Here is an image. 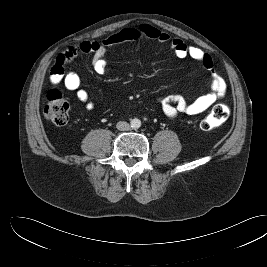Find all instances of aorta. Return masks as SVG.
<instances>
[{"mask_svg": "<svg viewBox=\"0 0 267 267\" xmlns=\"http://www.w3.org/2000/svg\"><path fill=\"white\" fill-rule=\"evenodd\" d=\"M131 126L133 128H139L141 126V121L137 118L131 120Z\"/></svg>", "mask_w": 267, "mask_h": 267, "instance_id": "762f6f07", "label": "aorta"}]
</instances>
